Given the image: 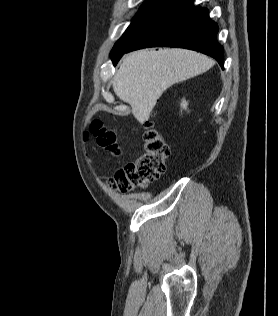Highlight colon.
<instances>
[{
  "mask_svg": "<svg viewBox=\"0 0 278 316\" xmlns=\"http://www.w3.org/2000/svg\"><path fill=\"white\" fill-rule=\"evenodd\" d=\"M144 129V153L110 178V183L116 190L128 192L136 188H144L157 180L165 171V159L169 155V147L151 121L145 123ZM89 132L95 137L98 145L113 155H119L120 148L113 130L104 127L101 121L95 120Z\"/></svg>",
  "mask_w": 278,
  "mask_h": 316,
  "instance_id": "5ec220e1",
  "label": "colon"
}]
</instances>
